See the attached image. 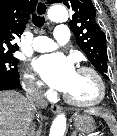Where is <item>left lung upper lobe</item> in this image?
Instances as JSON below:
<instances>
[{
  "label": "left lung upper lobe",
  "instance_id": "1",
  "mask_svg": "<svg viewBox=\"0 0 117 136\" xmlns=\"http://www.w3.org/2000/svg\"><path fill=\"white\" fill-rule=\"evenodd\" d=\"M64 3L74 12L70 21V28L75 34L77 44L86 54L92 65L105 78H109L106 73L107 50L106 36L95 20L96 10L91 0H48V3Z\"/></svg>",
  "mask_w": 117,
  "mask_h": 136
}]
</instances>
